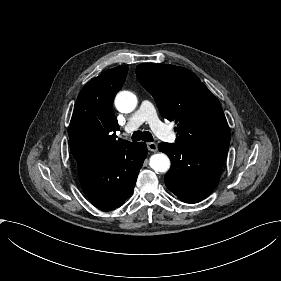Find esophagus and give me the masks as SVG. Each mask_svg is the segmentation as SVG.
<instances>
[{"mask_svg":"<svg viewBox=\"0 0 281 281\" xmlns=\"http://www.w3.org/2000/svg\"><path fill=\"white\" fill-rule=\"evenodd\" d=\"M147 148L152 152H156L158 150L157 144L154 142L147 143Z\"/></svg>","mask_w":281,"mask_h":281,"instance_id":"esophagus-1","label":"esophagus"}]
</instances>
